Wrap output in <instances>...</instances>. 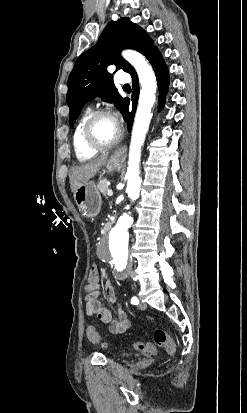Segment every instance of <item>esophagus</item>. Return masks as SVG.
<instances>
[{
  "instance_id": "obj_1",
  "label": "esophagus",
  "mask_w": 247,
  "mask_h": 413,
  "mask_svg": "<svg viewBox=\"0 0 247 413\" xmlns=\"http://www.w3.org/2000/svg\"><path fill=\"white\" fill-rule=\"evenodd\" d=\"M127 148L126 145H121L114 150L113 154L120 159H124L126 157Z\"/></svg>"
}]
</instances>
